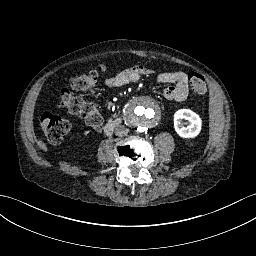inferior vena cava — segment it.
Returning a JSON list of instances; mask_svg holds the SVG:
<instances>
[{"mask_svg": "<svg viewBox=\"0 0 256 256\" xmlns=\"http://www.w3.org/2000/svg\"><path fill=\"white\" fill-rule=\"evenodd\" d=\"M129 132V129L123 125H118L115 128V135L122 137V136H126Z\"/></svg>", "mask_w": 256, "mask_h": 256, "instance_id": "obj_1", "label": "inferior vena cava"}]
</instances>
